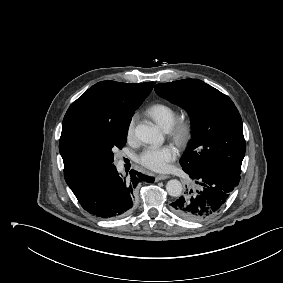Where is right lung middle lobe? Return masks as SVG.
<instances>
[{"label": "right lung middle lobe", "mask_w": 283, "mask_h": 283, "mask_svg": "<svg viewBox=\"0 0 283 283\" xmlns=\"http://www.w3.org/2000/svg\"><path fill=\"white\" fill-rule=\"evenodd\" d=\"M131 117L80 128L73 135L74 146L95 159L104 171L113 165V150L121 149L127 138Z\"/></svg>", "instance_id": "right-lung-middle-lobe-1"}]
</instances>
